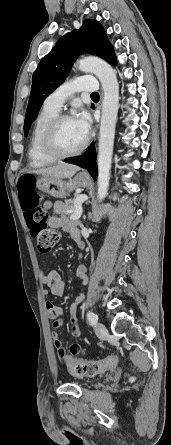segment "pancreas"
<instances>
[{"label":"pancreas","instance_id":"1","mask_svg":"<svg viewBox=\"0 0 171 445\" xmlns=\"http://www.w3.org/2000/svg\"><path fill=\"white\" fill-rule=\"evenodd\" d=\"M75 201L76 199L66 200L64 203L61 201H57L54 204V212L56 214H70L72 210L75 209Z\"/></svg>","mask_w":171,"mask_h":445}]
</instances>
